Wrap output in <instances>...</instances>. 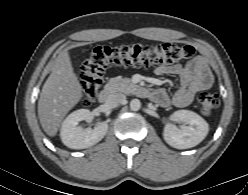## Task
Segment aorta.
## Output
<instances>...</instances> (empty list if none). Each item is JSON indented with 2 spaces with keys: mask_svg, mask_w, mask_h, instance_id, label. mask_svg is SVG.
<instances>
[{
  "mask_svg": "<svg viewBox=\"0 0 248 195\" xmlns=\"http://www.w3.org/2000/svg\"><path fill=\"white\" fill-rule=\"evenodd\" d=\"M141 108V102L139 99H133L130 102V109L132 111H138Z\"/></svg>",
  "mask_w": 248,
  "mask_h": 195,
  "instance_id": "1",
  "label": "aorta"
}]
</instances>
